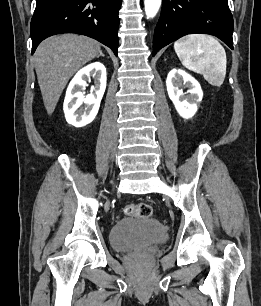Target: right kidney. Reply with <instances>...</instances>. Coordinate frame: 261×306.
Wrapping results in <instances>:
<instances>
[{
	"label": "right kidney",
	"mask_w": 261,
	"mask_h": 306,
	"mask_svg": "<svg viewBox=\"0 0 261 306\" xmlns=\"http://www.w3.org/2000/svg\"><path fill=\"white\" fill-rule=\"evenodd\" d=\"M90 76H93L95 80V92L84 96L82 90L86 86V79ZM105 89L106 68L102 63H91L79 70L66 91L63 104L66 121L75 127H83L91 123L98 113ZM82 104H86L87 107L79 109Z\"/></svg>",
	"instance_id": "ca27d5eb"
}]
</instances>
